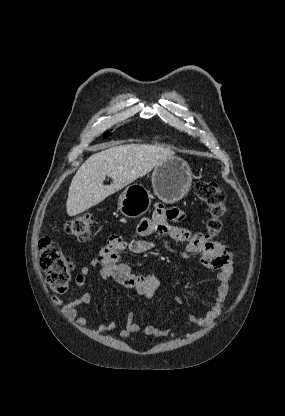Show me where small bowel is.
Listing matches in <instances>:
<instances>
[{"instance_id": "1", "label": "small bowel", "mask_w": 285, "mask_h": 416, "mask_svg": "<svg viewBox=\"0 0 285 416\" xmlns=\"http://www.w3.org/2000/svg\"><path fill=\"white\" fill-rule=\"evenodd\" d=\"M184 215L177 209H166L158 204L150 218H144L138 225V234L141 237L153 235L165 236L175 242H187V246L180 254L183 257L201 255L203 266L217 270L219 284L212 299V305L202 316L189 314L187 324L189 326L206 327L211 325L222 313L224 303L229 295L232 279L233 255L223 240H211L208 235L195 233L188 228L179 226ZM155 248V243L146 239L125 240L116 235L109 238L107 244L93 258L89 265H84L76 275L75 283L81 287L86 283V278L92 268H98L103 280H114L124 288L134 290L146 299L154 296L160 286V280L154 274L134 272L122 259V253L129 251L135 254H143ZM93 299L91 292H85L73 301L66 302L53 297L52 300L60 306L64 317L78 327L87 323V318L79 312L81 305L89 304ZM180 301L179 298H177ZM117 329L115 321L101 322L97 326L98 333L112 332ZM145 334L155 337L171 335L170 329H160L153 325L143 326L134 320L133 314L126 317L124 326L120 329V336L128 338L132 334Z\"/></svg>"}]
</instances>
